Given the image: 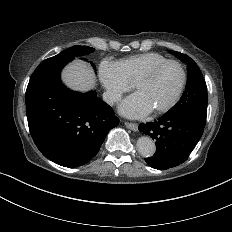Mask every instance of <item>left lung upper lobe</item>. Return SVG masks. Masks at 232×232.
Returning a JSON list of instances; mask_svg holds the SVG:
<instances>
[{
  "label": "left lung upper lobe",
  "instance_id": "left-lung-upper-lobe-1",
  "mask_svg": "<svg viewBox=\"0 0 232 232\" xmlns=\"http://www.w3.org/2000/svg\"><path fill=\"white\" fill-rule=\"evenodd\" d=\"M187 64L188 79L181 99L168 114H182L205 125L207 115V87L198 65L189 56L176 51H168Z\"/></svg>",
  "mask_w": 232,
  "mask_h": 232
}]
</instances>
